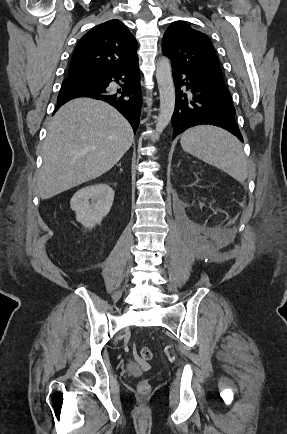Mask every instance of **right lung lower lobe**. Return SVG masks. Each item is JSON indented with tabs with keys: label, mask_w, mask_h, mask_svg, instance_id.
Returning a JSON list of instances; mask_svg holds the SVG:
<instances>
[{
	"label": "right lung lower lobe",
	"mask_w": 287,
	"mask_h": 434,
	"mask_svg": "<svg viewBox=\"0 0 287 434\" xmlns=\"http://www.w3.org/2000/svg\"><path fill=\"white\" fill-rule=\"evenodd\" d=\"M111 82L119 84V88L112 87ZM77 97H91L109 103L136 131L142 104L138 63L127 68L100 70L65 79L62 82L55 111L67 101Z\"/></svg>",
	"instance_id": "obj_1"
}]
</instances>
